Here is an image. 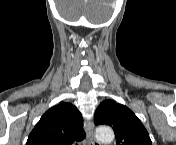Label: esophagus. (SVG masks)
<instances>
[{"mask_svg":"<svg viewBox=\"0 0 176 145\" xmlns=\"http://www.w3.org/2000/svg\"><path fill=\"white\" fill-rule=\"evenodd\" d=\"M85 130L87 134V140L91 145H100L94 136V125L91 121H86L85 124Z\"/></svg>","mask_w":176,"mask_h":145,"instance_id":"34e87169","label":"esophagus"}]
</instances>
